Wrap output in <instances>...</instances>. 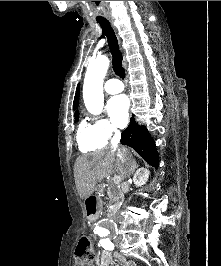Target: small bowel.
<instances>
[{"label": "small bowel", "mask_w": 221, "mask_h": 266, "mask_svg": "<svg viewBox=\"0 0 221 266\" xmlns=\"http://www.w3.org/2000/svg\"><path fill=\"white\" fill-rule=\"evenodd\" d=\"M98 266H139L131 260H127L111 252L104 251L98 258Z\"/></svg>", "instance_id": "c3829d8e"}]
</instances>
